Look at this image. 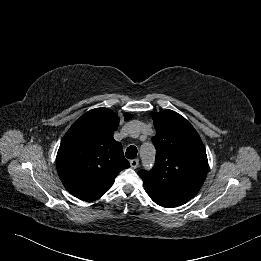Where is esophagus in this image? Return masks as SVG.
Segmentation results:
<instances>
[{"label": "esophagus", "mask_w": 261, "mask_h": 261, "mask_svg": "<svg viewBox=\"0 0 261 261\" xmlns=\"http://www.w3.org/2000/svg\"><path fill=\"white\" fill-rule=\"evenodd\" d=\"M138 165H139L138 159H133V160L130 161L131 168L136 169L138 167Z\"/></svg>", "instance_id": "obj_1"}]
</instances>
